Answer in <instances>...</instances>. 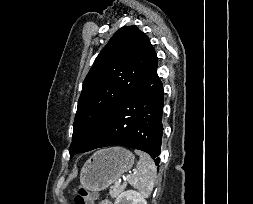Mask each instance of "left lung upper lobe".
Listing matches in <instances>:
<instances>
[{
    "label": "left lung upper lobe",
    "mask_w": 253,
    "mask_h": 204,
    "mask_svg": "<svg viewBox=\"0 0 253 204\" xmlns=\"http://www.w3.org/2000/svg\"><path fill=\"white\" fill-rule=\"evenodd\" d=\"M155 50L136 26L120 28L95 59L78 101L70 155L82 153L147 71Z\"/></svg>",
    "instance_id": "5c2ea615"
}]
</instances>
